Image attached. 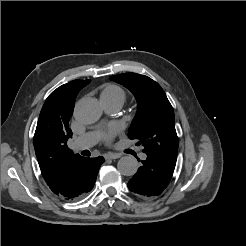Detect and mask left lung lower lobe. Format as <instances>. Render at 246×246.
I'll return each instance as SVG.
<instances>
[{
	"mask_svg": "<svg viewBox=\"0 0 246 246\" xmlns=\"http://www.w3.org/2000/svg\"><path fill=\"white\" fill-rule=\"evenodd\" d=\"M142 166L129 180L130 191L143 199H150L160 195L168 186L175 166L152 155L147 154L145 160H141Z\"/></svg>",
	"mask_w": 246,
	"mask_h": 246,
	"instance_id": "1",
	"label": "left lung lower lobe"
}]
</instances>
